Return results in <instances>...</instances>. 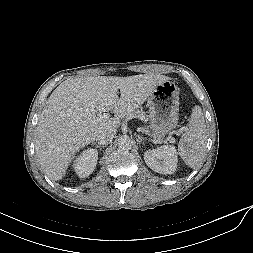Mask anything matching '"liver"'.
I'll return each mask as SVG.
<instances>
[{"label": "liver", "instance_id": "1", "mask_svg": "<svg viewBox=\"0 0 253 253\" xmlns=\"http://www.w3.org/2000/svg\"><path fill=\"white\" fill-rule=\"evenodd\" d=\"M168 80L165 75L140 74L68 78L62 82L48 98L36 129L41 168L51 179H62L75 153L94 141L101 128H118L121 118L134 116L155 88ZM96 110H113L115 117L99 121Z\"/></svg>", "mask_w": 253, "mask_h": 253}]
</instances>
